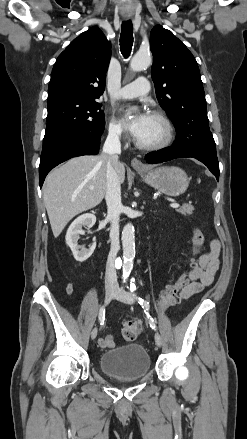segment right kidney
Instances as JSON below:
<instances>
[{
	"label": "right kidney",
	"instance_id": "right-kidney-1",
	"mask_svg": "<svg viewBox=\"0 0 247 439\" xmlns=\"http://www.w3.org/2000/svg\"><path fill=\"white\" fill-rule=\"evenodd\" d=\"M95 222L96 216L91 213H86L76 218L67 230L65 237L66 244L70 247L75 260L78 262L86 261L96 248V242H94L89 249L82 248L79 250L80 247L78 246L80 235L85 233L82 227L91 228Z\"/></svg>",
	"mask_w": 247,
	"mask_h": 439
}]
</instances>
